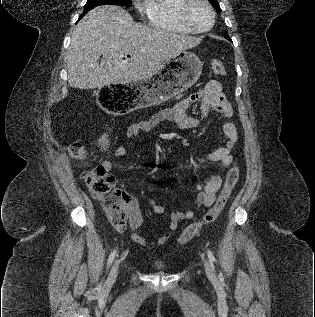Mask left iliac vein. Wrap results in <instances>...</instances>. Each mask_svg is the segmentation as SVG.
<instances>
[{
  "label": "left iliac vein",
  "instance_id": "1",
  "mask_svg": "<svg viewBox=\"0 0 315 317\" xmlns=\"http://www.w3.org/2000/svg\"><path fill=\"white\" fill-rule=\"evenodd\" d=\"M203 263H204V268H205V272H206L207 277L209 279L215 280L216 276H215L213 270L211 269L209 262L206 259H204Z\"/></svg>",
  "mask_w": 315,
  "mask_h": 317
}]
</instances>
